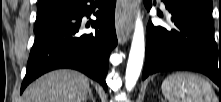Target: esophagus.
Returning a JSON list of instances; mask_svg holds the SVG:
<instances>
[{
  "instance_id": "34e87169",
  "label": "esophagus",
  "mask_w": 221,
  "mask_h": 102,
  "mask_svg": "<svg viewBox=\"0 0 221 102\" xmlns=\"http://www.w3.org/2000/svg\"><path fill=\"white\" fill-rule=\"evenodd\" d=\"M134 3L132 0H117L115 25L120 43H125L133 29Z\"/></svg>"
}]
</instances>
